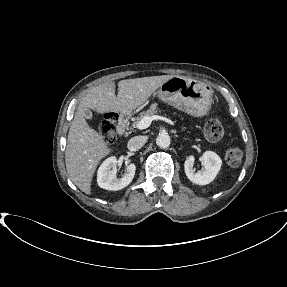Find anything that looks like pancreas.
<instances>
[{
  "label": "pancreas",
  "instance_id": "obj_1",
  "mask_svg": "<svg viewBox=\"0 0 287 287\" xmlns=\"http://www.w3.org/2000/svg\"><path fill=\"white\" fill-rule=\"evenodd\" d=\"M158 111H159V109H158V107H157V104H152L148 110L143 111V112L140 114V117H137V118H136V121L133 122V124H132L133 128H136V127H137L138 122H139L143 117H145V116H153V115H155Z\"/></svg>",
  "mask_w": 287,
  "mask_h": 287
}]
</instances>
